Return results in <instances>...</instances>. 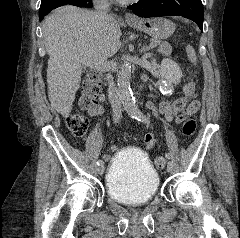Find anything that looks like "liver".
Wrapping results in <instances>:
<instances>
[{"label":"liver","instance_id":"obj_1","mask_svg":"<svg viewBox=\"0 0 240 238\" xmlns=\"http://www.w3.org/2000/svg\"><path fill=\"white\" fill-rule=\"evenodd\" d=\"M121 30L112 17L103 23L91 11L66 5L43 21L48 97L51 106L68 117L80 87L85 62H104L120 48Z\"/></svg>","mask_w":240,"mask_h":238}]
</instances>
